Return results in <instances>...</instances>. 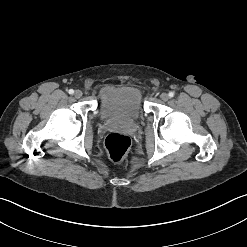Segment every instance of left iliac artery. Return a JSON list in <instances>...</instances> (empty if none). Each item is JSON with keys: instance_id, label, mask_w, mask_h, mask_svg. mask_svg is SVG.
Listing matches in <instances>:
<instances>
[{"instance_id": "obj_1", "label": "left iliac artery", "mask_w": 247, "mask_h": 247, "mask_svg": "<svg viewBox=\"0 0 247 247\" xmlns=\"http://www.w3.org/2000/svg\"><path fill=\"white\" fill-rule=\"evenodd\" d=\"M168 95H169V97H173L175 94H174V92L171 91V92H169Z\"/></svg>"}]
</instances>
